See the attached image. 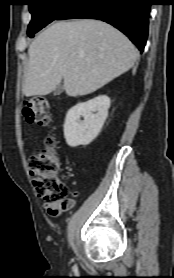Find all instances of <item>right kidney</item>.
<instances>
[{"label": "right kidney", "instance_id": "right-kidney-1", "mask_svg": "<svg viewBox=\"0 0 174 278\" xmlns=\"http://www.w3.org/2000/svg\"><path fill=\"white\" fill-rule=\"evenodd\" d=\"M110 98L100 95L72 107L66 115L64 137L71 147L90 144L100 133L108 116ZM81 116L84 118L80 120Z\"/></svg>", "mask_w": 174, "mask_h": 278}]
</instances>
